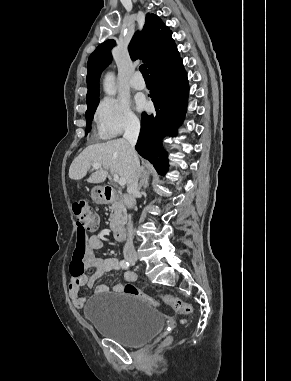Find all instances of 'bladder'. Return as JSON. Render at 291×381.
<instances>
[{"mask_svg": "<svg viewBox=\"0 0 291 381\" xmlns=\"http://www.w3.org/2000/svg\"><path fill=\"white\" fill-rule=\"evenodd\" d=\"M84 316L99 335L127 347L149 342L165 326L164 317L150 303L123 292L90 297Z\"/></svg>", "mask_w": 291, "mask_h": 381, "instance_id": "obj_1", "label": "bladder"}]
</instances>
